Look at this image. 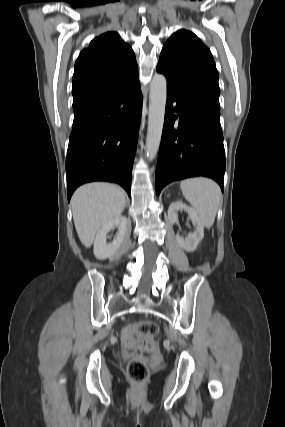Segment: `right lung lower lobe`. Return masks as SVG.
<instances>
[{
	"label": "right lung lower lobe",
	"mask_w": 285,
	"mask_h": 427,
	"mask_svg": "<svg viewBox=\"0 0 285 427\" xmlns=\"http://www.w3.org/2000/svg\"><path fill=\"white\" fill-rule=\"evenodd\" d=\"M66 158L68 201L91 181L120 184L131 195V173L142 110L138 75L73 105Z\"/></svg>",
	"instance_id": "right-lung-lower-lobe-1"
}]
</instances>
